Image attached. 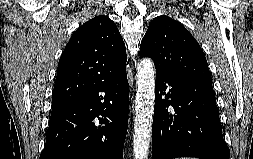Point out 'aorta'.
I'll return each mask as SVG.
<instances>
[{
  "mask_svg": "<svg viewBox=\"0 0 253 159\" xmlns=\"http://www.w3.org/2000/svg\"><path fill=\"white\" fill-rule=\"evenodd\" d=\"M137 69L133 152L135 159H147L154 114L155 67L151 59L144 58Z\"/></svg>",
  "mask_w": 253,
  "mask_h": 159,
  "instance_id": "1",
  "label": "aorta"
}]
</instances>
